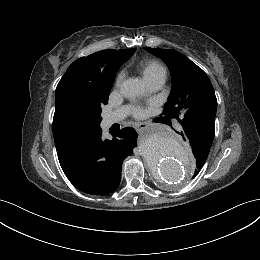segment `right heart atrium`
<instances>
[{
	"mask_svg": "<svg viewBox=\"0 0 260 260\" xmlns=\"http://www.w3.org/2000/svg\"><path fill=\"white\" fill-rule=\"evenodd\" d=\"M125 76H126V73L124 71H121L117 78H116V82H115V85L116 87H119L120 84L123 82V80L125 79Z\"/></svg>",
	"mask_w": 260,
	"mask_h": 260,
	"instance_id": "1",
	"label": "right heart atrium"
}]
</instances>
